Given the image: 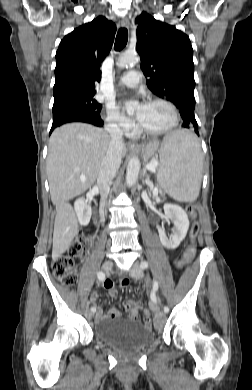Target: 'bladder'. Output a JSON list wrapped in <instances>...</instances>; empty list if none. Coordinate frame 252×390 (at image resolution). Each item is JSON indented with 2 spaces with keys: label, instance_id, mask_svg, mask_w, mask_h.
<instances>
[{
  "label": "bladder",
  "instance_id": "bladder-1",
  "mask_svg": "<svg viewBox=\"0 0 252 390\" xmlns=\"http://www.w3.org/2000/svg\"><path fill=\"white\" fill-rule=\"evenodd\" d=\"M94 336L103 344L131 354L148 347L155 339L149 327L129 320L104 319L94 326Z\"/></svg>",
  "mask_w": 252,
  "mask_h": 390
}]
</instances>
